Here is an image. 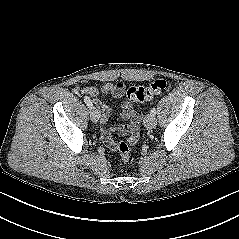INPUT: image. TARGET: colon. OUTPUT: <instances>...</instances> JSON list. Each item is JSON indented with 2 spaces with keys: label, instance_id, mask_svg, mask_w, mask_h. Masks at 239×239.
Here are the masks:
<instances>
[{
  "label": "colon",
  "instance_id": "obj_1",
  "mask_svg": "<svg viewBox=\"0 0 239 239\" xmlns=\"http://www.w3.org/2000/svg\"><path fill=\"white\" fill-rule=\"evenodd\" d=\"M164 79H156L146 86H131L126 92V97L131 102H144L153 99L166 88ZM136 123H140V116L135 119ZM138 131V129H136ZM119 158L123 163H128L130 160V149L127 143L119 142L116 145Z\"/></svg>",
  "mask_w": 239,
  "mask_h": 239
}]
</instances>
